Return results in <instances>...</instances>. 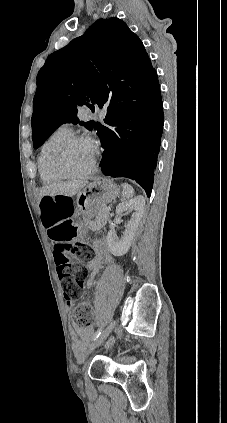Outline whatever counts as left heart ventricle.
Masks as SVG:
<instances>
[{"label":"left heart ventricle","instance_id":"1","mask_svg":"<svg viewBox=\"0 0 227 423\" xmlns=\"http://www.w3.org/2000/svg\"><path fill=\"white\" fill-rule=\"evenodd\" d=\"M96 158L95 152L86 143L72 145L65 154V163L70 171L81 173L91 167Z\"/></svg>","mask_w":227,"mask_h":423}]
</instances>
